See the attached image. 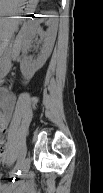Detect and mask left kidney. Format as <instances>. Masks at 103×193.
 Segmentation results:
<instances>
[{
  "label": "left kidney",
  "instance_id": "left-kidney-1",
  "mask_svg": "<svg viewBox=\"0 0 103 193\" xmlns=\"http://www.w3.org/2000/svg\"><path fill=\"white\" fill-rule=\"evenodd\" d=\"M43 21L44 20H41V19L35 20L34 23L32 24V30H31L32 34H36L37 32H39L40 35L45 36L40 55L37 57L36 60H33L32 62H28L27 60L23 59L20 63L21 73L26 79H31L34 76L35 72L43 67V65L46 63L53 49V45H54L56 33H57L58 22L56 19H53V18L49 19L48 21L49 28L47 29L46 32H42L39 29V25ZM29 44H30V40L28 39L25 40L23 49H22L23 54L27 53Z\"/></svg>",
  "mask_w": 103,
  "mask_h": 193
}]
</instances>
